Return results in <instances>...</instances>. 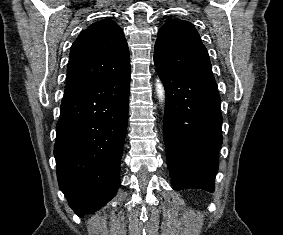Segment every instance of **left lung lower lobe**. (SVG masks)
I'll list each match as a JSON object with an SVG mask.
<instances>
[{"label": "left lung lower lobe", "mask_w": 283, "mask_h": 235, "mask_svg": "<svg viewBox=\"0 0 283 235\" xmlns=\"http://www.w3.org/2000/svg\"><path fill=\"white\" fill-rule=\"evenodd\" d=\"M156 70L166 92L164 142L173 189L213 192L222 144L217 84L158 66Z\"/></svg>", "instance_id": "left-lung-lower-lobe-1"}]
</instances>
